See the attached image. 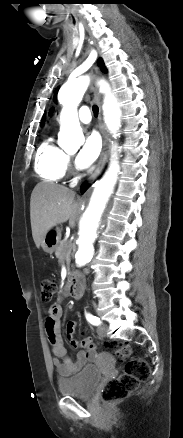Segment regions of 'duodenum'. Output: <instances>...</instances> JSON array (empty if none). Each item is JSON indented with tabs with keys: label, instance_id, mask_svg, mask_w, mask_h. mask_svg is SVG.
<instances>
[{
	"label": "duodenum",
	"instance_id": "duodenum-1",
	"mask_svg": "<svg viewBox=\"0 0 183 438\" xmlns=\"http://www.w3.org/2000/svg\"><path fill=\"white\" fill-rule=\"evenodd\" d=\"M82 279L78 275H73L68 283L67 291L70 293V295L76 299L79 300L82 295Z\"/></svg>",
	"mask_w": 183,
	"mask_h": 438
}]
</instances>
